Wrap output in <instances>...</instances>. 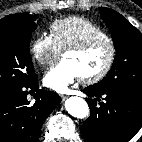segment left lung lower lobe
I'll use <instances>...</instances> for the list:
<instances>
[{
  "label": "left lung lower lobe",
  "instance_id": "left-lung-lower-lobe-1",
  "mask_svg": "<svg viewBox=\"0 0 142 142\" xmlns=\"http://www.w3.org/2000/svg\"><path fill=\"white\" fill-rule=\"evenodd\" d=\"M84 93L89 96L86 101L91 112L81 128L87 142H128L141 128V90L98 89L91 85L84 89ZM102 95L104 102L99 99Z\"/></svg>",
  "mask_w": 142,
  "mask_h": 142
}]
</instances>
